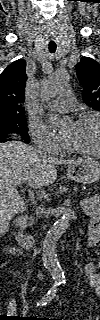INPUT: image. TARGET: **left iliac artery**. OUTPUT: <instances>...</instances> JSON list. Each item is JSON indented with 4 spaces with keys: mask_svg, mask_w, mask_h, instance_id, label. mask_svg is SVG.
<instances>
[{
    "mask_svg": "<svg viewBox=\"0 0 100 320\" xmlns=\"http://www.w3.org/2000/svg\"><path fill=\"white\" fill-rule=\"evenodd\" d=\"M63 283L65 284V283H66V281H65V280H63Z\"/></svg>",
    "mask_w": 100,
    "mask_h": 320,
    "instance_id": "left-iliac-artery-1",
    "label": "left iliac artery"
}]
</instances>
